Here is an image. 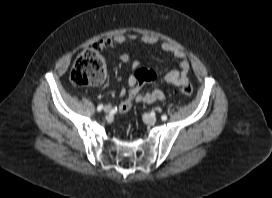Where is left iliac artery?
<instances>
[{"mask_svg": "<svg viewBox=\"0 0 272 198\" xmlns=\"http://www.w3.org/2000/svg\"><path fill=\"white\" fill-rule=\"evenodd\" d=\"M161 119H162L163 121H165V120H167V116H166V115H162V116H161Z\"/></svg>", "mask_w": 272, "mask_h": 198, "instance_id": "1", "label": "left iliac artery"}]
</instances>
